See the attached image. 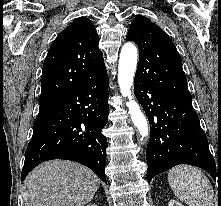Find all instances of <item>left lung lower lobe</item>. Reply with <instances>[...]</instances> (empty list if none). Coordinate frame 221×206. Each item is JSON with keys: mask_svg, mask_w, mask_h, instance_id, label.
I'll list each match as a JSON object with an SVG mask.
<instances>
[{"mask_svg": "<svg viewBox=\"0 0 221 206\" xmlns=\"http://www.w3.org/2000/svg\"><path fill=\"white\" fill-rule=\"evenodd\" d=\"M134 93L150 123L148 182L178 164L200 167L216 179L215 161L192 102L168 97L138 82H134Z\"/></svg>", "mask_w": 221, "mask_h": 206, "instance_id": "0a47b994", "label": "left lung lower lobe"}]
</instances>
